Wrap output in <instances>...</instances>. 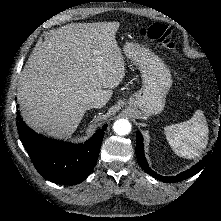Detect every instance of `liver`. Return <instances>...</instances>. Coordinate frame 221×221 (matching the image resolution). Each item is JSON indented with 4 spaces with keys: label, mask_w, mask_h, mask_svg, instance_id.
Wrapping results in <instances>:
<instances>
[{
    "label": "liver",
    "mask_w": 221,
    "mask_h": 221,
    "mask_svg": "<svg viewBox=\"0 0 221 221\" xmlns=\"http://www.w3.org/2000/svg\"><path fill=\"white\" fill-rule=\"evenodd\" d=\"M119 22L71 23L37 44L19 77L17 100L36 131L69 138L89 100L105 105L125 76Z\"/></svg>",
    "instance_id": "6515ba94"
}]
</instances>
